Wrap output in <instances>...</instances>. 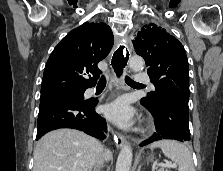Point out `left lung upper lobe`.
Here are the masks:
<instances>
[{"label": "left lung upper lobe", "mask_w": 223, "mask_h": 171, "mask_svg": "<svg viewBox=\"0 0 223 171\" xmlns=\"http://www.w3.org/2000/svg\"><path fill=\"white\" fill-rule=\"evenodd\" d=\"M132 42L136 53L144 58L149 67L148 75L156 89L142 98V105L153 109L168 96L188 104V60L182 44L153 23L142 27Z\"/></svg>", "instance_id": "obj_1"}]
</instances>
